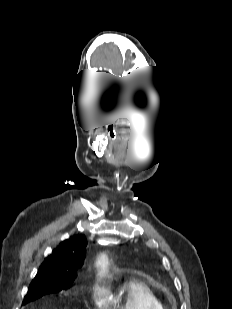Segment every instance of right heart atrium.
Listing matches in <instances>:
<instances>
[{
	"instance_id": "right-heart-atrium-1",
	"label": "right heart atrium",
	"mask_w": 232,
	"mask_h": 309,
	"mask_svg": "<svg viewBox=\"0 0 232 309\" xmlns=\"http://www.w3.org/2000/svg\"><path fill=\"white\" fill-rule=\"evenodd\" d=\"M106 290L103 286L95 284L93 286V297L97 302H103L106 297Z\"/></svg>"
}]
</instances>
